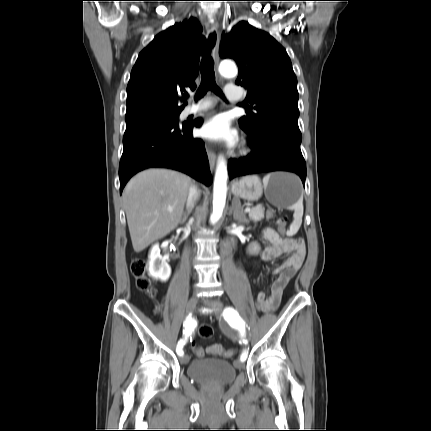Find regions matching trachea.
<instances>
[{
	"mask_svg": "<svg viewBox=\"0 0 431 431\" xmlns=\"http://www.w3.org/2000/svg\"><path fill=\"white\" fill-rule=\"evenodd\" d=\"M216 34L213 33L209 37V48L215 45ZM208 90L213 91L215 94L223 97L220 88L215 82V72H214V62L210 56V51L208 49L205 57L201 61V84L198 88L196 99L202 98ZM187 98L188 95H185Z\"/></svg>",
	"mask_w": 431,
	"mask_h": 431,
	"instance_id": "trachea-1",
	"label": "trachea"
}]
</instances>
